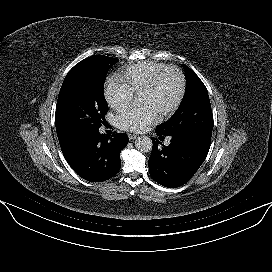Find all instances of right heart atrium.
Wrapping results in <instances>:
<instances>
[{
    "mask_svg": "<svg viewBox=\"0 0 272 272\" xmlns=\"http://www.w3.org/2000/svg\"><path fill=\"white\" fill-rule=\"evenodd\" d=\"M134 92L130 87L116 77L107 79L104 87V97L110 107L116 110L125 108L132 101Z\"/></svg>",
    "mask_w": 272,
    "mask_h": 272,
    "instance_id": "1",
    "label": "right heart atrium"
}]
</instances>
